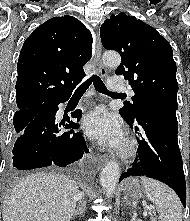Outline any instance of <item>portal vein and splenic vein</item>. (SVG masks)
I'll list each match as a JSON object with an SVG mask.
<instances>
[{"label":"portal vein and splenic vein","instance_id":"portal-vein-and-splenic-vein-1","mask_svg":"<svg viewBox=\"0 0 190 221\" xmlns=\"http://www.w3.org/2000/svg\"><path fill=\"white\" fill-rule=\"evenodd\" d=\"M149 209L152 210L153 208H152V207H149Z\"/></svg>","mask_w":190,"mask_h":221}]
</instances>
